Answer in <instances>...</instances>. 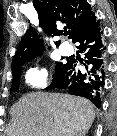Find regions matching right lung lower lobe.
Listing matches in <instances>:
<instances>
[{
    "label": "right lung lower lobe",
    "instance_id": "right-lung-lower-lobe-1",
    "mask_svg": "<svg viewBox=\"0 0 117 136\" xmlns=\"http://www.w3.org/2000/svg\"><path fill=\"white\" fill-rule=\"evenodd\" d=\"M76 42L80 43L78 46L80 51L85 53V69L77 67L78 60H68L54 75L52 84L46 89H65L71 95L89 99L97 108H100L107 62L99 21L84 30Z\"/></svg>",
    "mask_w": 117,
    "mask_h": 136
}]
</instances>
